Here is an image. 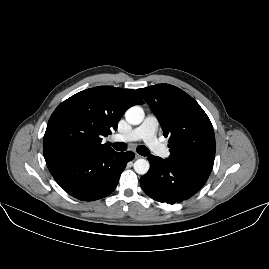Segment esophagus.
Returning <instances> with one entry per match:
<instances>
[{
    "label": "esophagus",
    "mask_w": 269,
    "mask_h": 269,
    "mask_svg": "<svg viewBox=\"0 0 269 269\" xmlns=\"http://www.w3.org/2000/svg\"><path fill=\"white\" fill-rule=\"evenodd\" d=\"M142 156L140 155V154H138V153H135V158L136 159H139V158H141Z\"/></svg>",
    "instance_id": "34e87169"
}]
</instances>
